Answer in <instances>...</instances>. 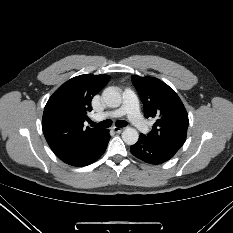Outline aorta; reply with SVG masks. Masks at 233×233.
I'll return each mask as SVG.
<instances>
[{
  "label": "aorta",
  "instance_id": "762f6f07",
  "mask_svg": "<svg viewBox=\"0 0 233 233\" xmlns=\"http://www.w3.org/2000/svg\"><path fill=\"white\" fill-rule=\"evenodd\" d=\"M104 103L110 108H117L122 103V97L116 87H108L102 93ZM139 134L135 128L128 127L122 132V139L128 145L138 141Z\"/></svg>",
  "mask_w": 233,
  "mask_h": 233
}]
</instances>
